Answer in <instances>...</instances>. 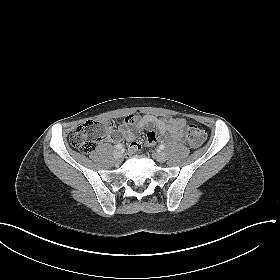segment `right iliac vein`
<instances>
[{
    "instance_id": "right-iliac-vein-1",
    "label": "right iliac vein",
    "mask_w": 280,
    "mask_h": 280,
    "mask_svg": "<svg viewBox=\"0 0 280 280\" xmlns=\"http://www.w3.org/2000/svg\"><path fill=\"white\" fill-rule=\"evenodd\" d=\"M114 158L117 162H121L123 160V153L121 150H116L114 152Z\"/></svg>"
}]
</instances>
